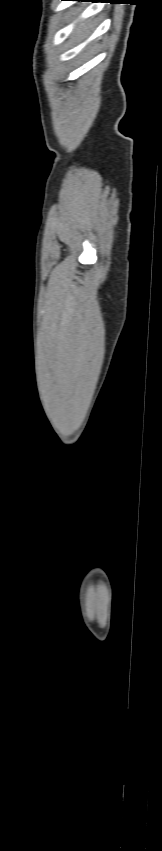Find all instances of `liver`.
Listing matches in <instances>:
<instances>
[{
    "instance_id": "1",
    "label": "liver",
    "mask_w": 162,
    "mask_h": 851,
    "mask_svg": "<svg viewBox=\"0 0 162 851\" xmlns=\"http://www.w3.org/2000/svg\"><path fill=\"white\" fill-rule=\"evenodd\" d=\"M91 28H92V24L89 21H87V22L82 23L79 26H77L76 29L73 32V35L75 36V38L77 40H82L89 34V31H90Z\"/></svg>"
}]
</instances>
